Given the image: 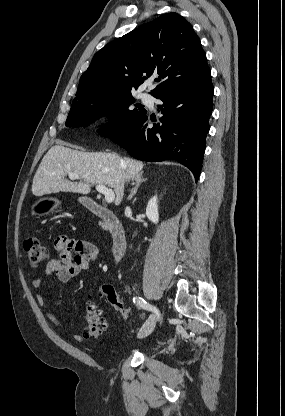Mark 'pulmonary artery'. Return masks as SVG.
Masks as SVG:
<instances>
[{"mask_svg": "<svg viewBox=\"0 0 285 416\" xmlns=\"http://www.w3.org/2000/svg\"><path fill=\"white\" fill-rule=\"evenodd\" d=\"M140 98L148 107H154V98L151 95L143 93L140 95Z\"/></svg>", "mask_w": 285, "mask_h": 416, "instance_id": "e3ab8cb5", "label": "pulmonary artery"}]
</instances>
